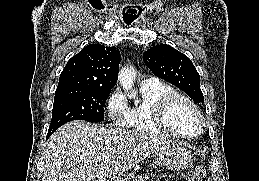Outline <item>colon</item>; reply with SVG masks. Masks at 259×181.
Listing matches in <instances>:
<instances>
[{
  "label": "colon",
  "instance_id": "obj_1",
  "mask_svg": "<svg viewBox=\"0 0 259 181\" xmlns=\"http://www.w3.org/2000/svg\"><path fill=\"white\" fill-rule=\"evenodd\" d=\"M206 172L202 165L194 166L188 174V181H205Z\"/></svg>",
  "mask_w": 259,
  "mask_h": 181
}]
</instances>
